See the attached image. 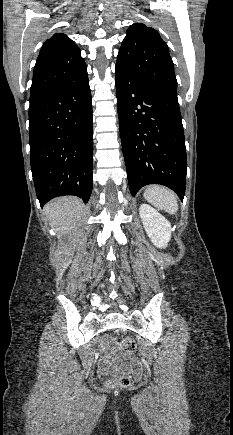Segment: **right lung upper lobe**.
<instances>
[{
    "instance_id": "cb5924a9",
    "label": "right lung upper lobe",
    "mask_w": 233,
    "mask_h": 435,
    "mask_svg": "<svg viewBox=\"0 0 233 435\" xmlns=\"http://www.w3.org/2000/svg\"><path fill=\"white\" fill-rule=\"evenodd\" d=\"M87 72L78 46L65 34L56 33L43 44L37 58L30 102L60 89Z\"/></svg>"
}]
</instances>
